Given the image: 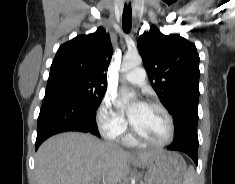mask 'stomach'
Instances as JSON below:
<instances>
[{
	"instance_id": "obj_1",
	"label": "stomach",
	"mask_w": 235,
	"mask_h": 184,
	"mask_svg": "<svg viewBox=\"0 0 235 184\" xmlns=\"http://www.w3.org/2000/svg\"><path fill=\"white\" fill-rule=\"evenodd\" d=\"M130 160L142 170H146L145 184H182L187 170L185 160L177 152H157L144 164H139L134 156Z\"/></svg>"
}]
</instances>
